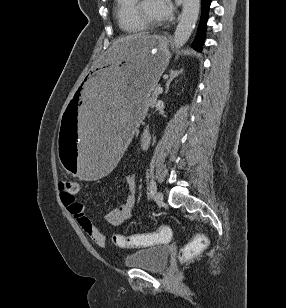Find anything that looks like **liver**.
<instances>
[{
	"label": "liver",
	"instance_id": "obj_1",
	"mask_svg": "<svg viewBox=\"0 0 286 308\" xmlns=\"http://www.w3.org/2000/svg\"><path fill=\"white\" fill-rule=\"evenodd\" d=\"M144 36H147V35H146L145 33H138V34H134V35H129V36H127V37L119 38V39H117V40L113 43V45H112L110 51H111L115 46H117L119 43H121V42H123V41L130 40V39H134V38H139V37H144Z\"/></svg>",
	"mask_w": 286,
	"mask_h": 308
}]
</instances>
